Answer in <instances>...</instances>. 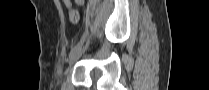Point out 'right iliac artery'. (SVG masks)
I'll return each instance as SVG.
<instances>
[{
  "instance_id": "right-iliac-artery-1",
  "label": "right iliac artery",
  "mask_w": 209,
  "mask_h": 90,
  "mask_svg": "<svg viewBox=\"0 0 209 90\" xmlns=\"http://www.w3.org/2000/svg\"><path fill=\"white\" fill-rule=\"evenodd\" d=\"M86 36H87V31H85V32L83 33V35H82L80 41L72 48V50H71V52H70V54H69L70 57L73 56L77 51L80 50V48H81V46H82V43H83V41L85 40Z\"/></svg>"
}]
</instances>
